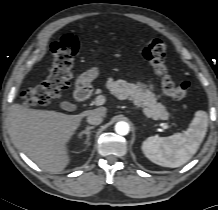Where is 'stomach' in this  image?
<instances>
[{"label": "stomach", "mask_w": 218, "mask_h": 210, "mask_svg": "<svg viewBox=\"0 0 218 210\" xmlns=\"http://www.w3.org/2000/svg\"><path fill=\"white\" fill-rule=\"evenodd\" d=\"M99 75V68L98 67H92L86 72H84L82 75L78 77L76 80V88L77 89H83L86 87H89L91 85V82L96 79Z\"/></svg>", "instance_id": "stomach-1"}]
</instances>
